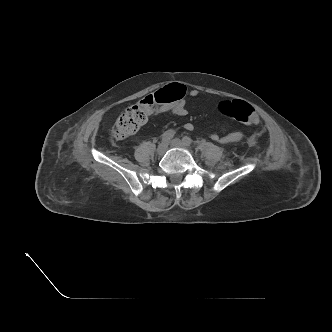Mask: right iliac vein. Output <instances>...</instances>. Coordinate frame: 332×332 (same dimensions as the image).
I'll return each mask as SVG.
<instances>
[{
  "label": "right iliac vein",
  "instance_id": "right-iliac-vein-1",
  "mask_svg": "<svg viewBox=\"0 0 332 332\" xmlns=\"http://www.w3.org/2000/svg\"><path fill=\"white\" fill-rule=\"evenodd\" d=\"M167 148H168V142L162 141L158 145L156 152H157L158 155H163L166 152Z\"/></svg>",
  "mask_w": 332,
  "mask_h": 332
}]
</instances>
